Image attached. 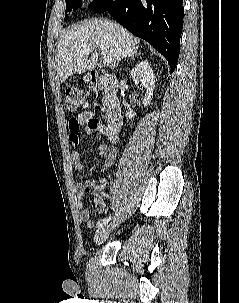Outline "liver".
Returning <instances> with one entry per match:
<instances>
[{
    "label": "liver",
    "instance_id": "6515ba94",
    "mask_svg": "<svg viewBox=\"0 0 239 303\" xmlns=\"http://www.w3.org/2000/svg\"><path fill=\"white\" fill-rule=\"evenodd\" d=\"M57 49V72L63 83L75 73L93 69L99 50L112 59L111 68H115L121 58L137 53L139 39L117 23L93 19L72 26L61 36ZM87 49L91 50L90 57L83 54Z\"/></svg>",
    "mask_w": 239,
    "mask_h": 303
}]
</instances>
